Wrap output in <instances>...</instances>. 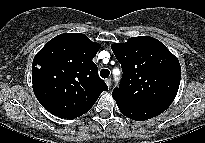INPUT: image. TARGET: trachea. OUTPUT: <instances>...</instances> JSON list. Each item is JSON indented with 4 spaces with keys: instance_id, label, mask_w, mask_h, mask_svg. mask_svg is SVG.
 Listing matches in <instances>:
<instances>
[{
    "instance_id": "obj_1",
    "label": "trachea",
    "mask_w": 205,
    "mask_h": 143,
    "mask_svg": "<svg viewBox=\"0 0 205 143\" xmlns=\"http://www.w3.org/2000/svg\"><path fill=\"white\" fill-rule=\"evenodd\" d=\"M109 74H110V71L108 69H102L100 71V76L104 79L107 78L109 76Z\"/></svg>"
}]
</instances>
